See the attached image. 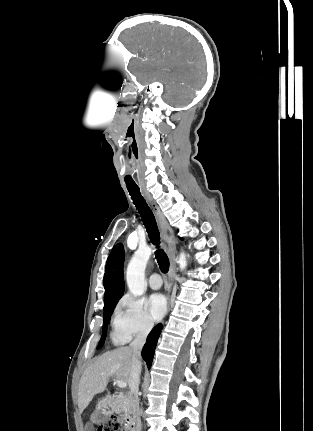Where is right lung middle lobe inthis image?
I'll list each match as a JSON object with an SVG mask.
<instances>
[{
  "label": "right lung middle lobe",
  "instance_id": "dd1d6c3e",
  "mask_svg": "<svg viewBox=\"0 0 313 431\" xmlns=\"http://www.w3.org/2000/svg\"><path fill=\"white\" fill-rule=\"evenodd\" d=\"M116 304H117V302L104 307L103 333H102L101 340H100V342H99V344L97 346V349L101 348L102 345H103V343H104V339H105V336H106L108 323L110 321V316H111V314H112V312H113Z\"/></svg>",
  "mask_w": 313,
  "mask_h": 431
}]
</instances>
